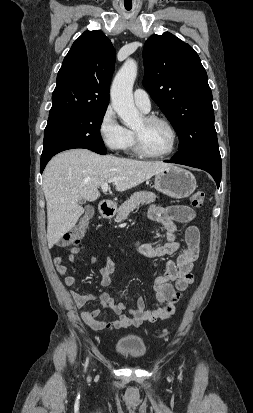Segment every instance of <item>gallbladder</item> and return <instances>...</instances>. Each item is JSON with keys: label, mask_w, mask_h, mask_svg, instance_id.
<instances>
[{"label": "gallbladder", "mask_w": 253, "mask_h": 413, "mask_svg": "<svg viewBox=\"0 0 253 413\" xmlns=\"http://www.w3.org/2000/svg\"><path fill=\"white\" fill-rule=\"evenodd\" d=\"M80 203H83L84 202V200L83 199H80V201H79Z\"/></svg>", "instance_id": "1"}]
</instances>
